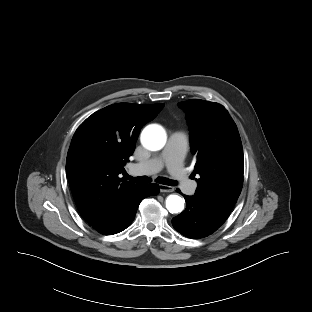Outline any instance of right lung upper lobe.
Masks as SVG:
<instances>
[{"instance_id": "cb5924a9", "label": "right lung upper lobe", "mask_w": 312, "mask_h": 312, "mask_svg": "<svg viewBox=\"0 0 312 312\" xmlns=\"http://www.w3.org/2000/svg\"><path fill=\"white\" fill-rule=\"evenodd\" d=\"M164 104L117 103L88 117L76 130L66 159L73 198L93 228L112 220L139 186L120 178L139 132Z\"/></svg>"}]
</instances>
